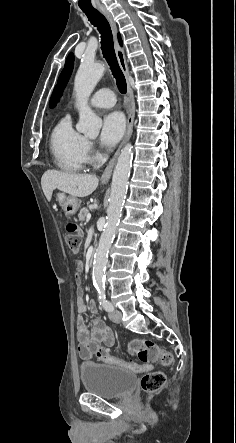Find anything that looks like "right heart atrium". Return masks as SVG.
Segmentation results:
<instances>
[{
    "mask_svg": "<svg viewBox=\"0 0 236 443\" xmlns=\"http://www.w3.org/2000/svg\"><path fill=\"white\" fill-rule=\"evenodd\" d=\"M85 154L88 160H90L93 156V145L89 141H87L85 145Z\"/></svg>",
    "mask_w": 236,
    "mask_h": 443,
    "instance_id": "d8ad5b80",
    "label": "right heart atrium"
}]
</instances>
